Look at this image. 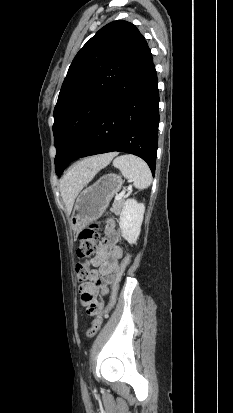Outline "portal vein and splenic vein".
<instances>
[{
	"label": "portal vein and splenic vein",
	"mask_w": 233,
	"mask_h": 413,
	"mask_svg": "<svg viewBox=\"0 0 233 413\" xmlns=\"http://www.w3.org/2000/svg\"><path fill=\"white\" fill-rule=\"evenodd\" d=\"M126 190H122L118 195H116L115 200H120L124 197Z\"/></svg>",
	"instance_id": "1"
}]
</instances>
